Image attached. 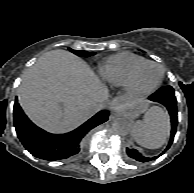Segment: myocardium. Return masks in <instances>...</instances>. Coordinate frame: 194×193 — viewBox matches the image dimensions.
Here are the masks:
<instances>
[{"label": "myocardium", "instance_id": "1", "mask_svg": "<svg viewBox=\"0 0 194 193\" xmlns=\"http://www.w3.org/2000/svg\"><path fill=\"white\" fill-rule=\"evenodd\" d=\"M145 65H152V66H156L160 69V78L157 81V83L150 87V88H142L139 86L138 83V75L141 71V69L145 66ZM164 79V67L160 64L157 63L155 61H151V60H145L141 63H139L132 71V74L130 76L129 82L126 85V89L128 91L129 94L134 95V96H147L150 95L152 93H154L162 84Z\"/></svg>", "mask_w": 194, "mask_h": 193}]
</instances>
